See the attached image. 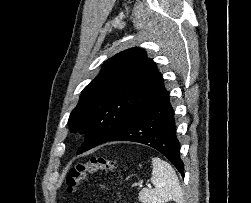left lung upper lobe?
Instances as JSON below:
<instances>
[{"label":"left lung upper lobe","mask_w":251,"mask_h":203,"mask_svg":"<svg viewBox=\"0 0 251 203\" xmlns=\"http://www.w3.org/2000/svg\"><path fill=\"white\" fill-rule=\"evenodd\" d=\"M164 81L153 60L140 48L108 59L82 91L70 114V130H89L78 154L107 142L162 91Z\"/></svg>","instance_id":"1"}]
</instances>
